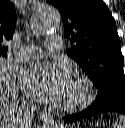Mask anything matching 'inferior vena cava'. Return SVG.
<instances>
[{
	"label": "inferior vena cava",
	"mask_w": 125,
	"mask_h": 128,
	"mask_svg": "<svg viewBox=\"0 0 125 128\" xmlns=\"http://www.w3.org/2000/svg\"><path fill=\"white\" fill-rule=\"evenodd\" d=\"M35 109L36 107L34 105L28 103L23 106V111L20 112L18 119L20 128H28V124L34 116Z\"/></svg>",
	"instance_id": "obj_1"
}]
</instances>
